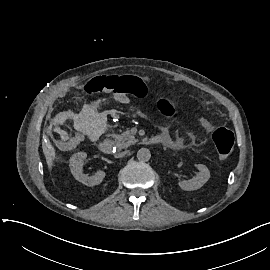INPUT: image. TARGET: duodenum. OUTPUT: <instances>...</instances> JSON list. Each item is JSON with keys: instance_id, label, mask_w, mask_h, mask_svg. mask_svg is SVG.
Listing matches in <instances>:
<instances>
[{"instance_id": "1", "label": "duodenum", "mask_w": 270, "mask_h": 270, "mask_svg": "<svg viewBox=\"0 0 270 270\" xmlns=\"http://www.w3.org/2000/svg\"><path fill=\"white\" fill-rule=\"evenodd\" d=\"M146 142L151 143V144L158 143L159 138L158 137H152V138H149ZM112 147H113V143L109 139H105L102 142H100V144H99L100 151L105 153V154L111 153Z\"/></svg>"}]
</instances>
